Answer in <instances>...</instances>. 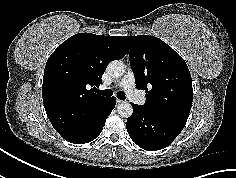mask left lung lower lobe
Returning <instances> with one entry per match:
<instances>
[{"label":"left lung lower lobe","instance_id":"obj_1","mask_svg":"<svg viewBox=\"0 0 236 178\" xmlns=\"http://www.w3.org/2000/svg\"><path fill=\"white\" fill-rule=\"evenodd\" d=\"M133 105V114L127 119L130 138L139 147L156 151L167 147L183 130L185 122L153 113L140 105Z\"/></svg>","mask_w":236,"mask_h":178}]
</instances>
